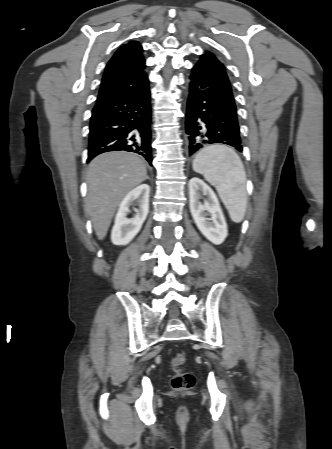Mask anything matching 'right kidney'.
<instances>
[{"label":"right kidney","mask_w":332,"mask_h":449,"mask_svg":"<svg viewBox=\"0 0 332 449\" xmlns=\"http://www.w3.org/2000/svg\"><path fill=\"white\" fill-rule=\"evenodd\" d=\"M149 193V185L141 184L124 197L111 232V241L114 245H126L138 234L149 212ZM134 202L139 204V209H136V215L129 219L127 218L129 207Z\"/></svg>","instance_id":"obj_1"}]
</instances>
